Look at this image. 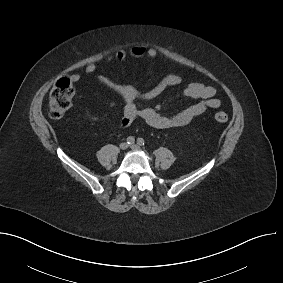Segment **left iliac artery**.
Listing matches in <instances>:
<instances>
[{
    "mask_svg": "<svg viewBox=\"0 0 283 283\" xmlns=\"http://www.w3.org/2000/svg\"><path fill=\"white\" fill-rule=\"evenodd\" d=\"M137 143L140 145V146H144L145 145V141L143 138H138L137 139Z\"/></svg>",
    "mask_w": 283,
    "mask_h": 283,
    "instance_id": "44dca946",
    "label": "left iliac artery"
}]
</instances>
